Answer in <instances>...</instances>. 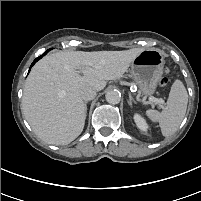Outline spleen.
I'll use <instances>...</instances> for the list:
<instances>
[{"mask_svg":"<svg viewBox=\"0 0 201 201\" xmlns=\"http://www.w3.org/2000/svg\"><path fill=\"white\" fill-rule=\"evenodd\" d=\"M188 94L184 84L176 80L167 99V107L162 112L147 110L146 116L153 122H158L162 135L168 137L175 133L181 124L187 109Z\"/></svg>","mask_w":201,"mask_h":201,"instance_id":"3e777b00","label":"spleen"}]
</instances>
